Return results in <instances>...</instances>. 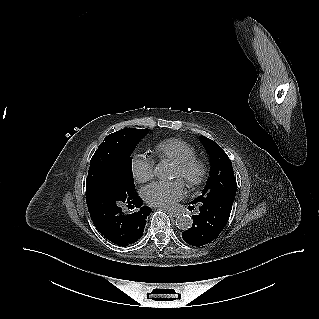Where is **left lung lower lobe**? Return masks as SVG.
Segmentation results:
<instances>
[{
    "instance_id": "left-lung-lower-lobe-1",
    "label": "left lung lower lobe",
    "mask_w": 319,
    "mask_h": 319,
    "mask_svg": "<svg viewBox=\"0 0 319 319\" xmlns=\"http://www.w3.org/2000/svg\"><path fill=\"white\" fill-rule=\"evenodd\" d=\"M234 198L235 194H228L199 203L200 213L193 216L192 227L182 233L183 240L197 247L213 241L227 224Z\"/></svg>"
}]
</instances>
